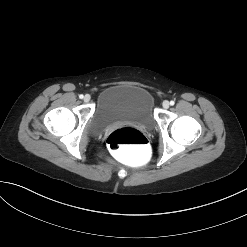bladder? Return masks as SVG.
Returning <instances> with one entry per match:
<instances>
[{"instance_id":"31cf9c89","label":"bladder","mask_w":247,"mask_h":247,"mask_svg":"<svg viewBox=\"0 0 247 247\" xmlns=\"http://www.w3.org/2000/svg\"><path fill=\"white\" fill-rule=\"evenodd\" d=\"M151 94L136 85H113L103 89L89 122L92 133H100L116 123H131L144 128L155 124Z\"/></svg>"}]
</instances>
